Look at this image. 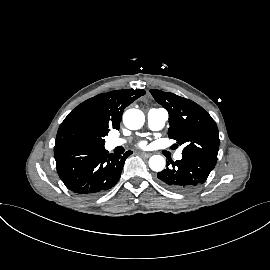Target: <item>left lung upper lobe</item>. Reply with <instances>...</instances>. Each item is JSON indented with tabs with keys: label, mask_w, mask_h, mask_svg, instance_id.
<instances>
[{
	"label": "left lung upper lobe",
	"mask_w": 270,
	"mask_h": 270,
	"mask_svg": "<svg viewBox=\"0 0 270 270\" xmlns=\"http://www.w3.org/2000/svg\"><path fill=\"white\" fill-rule=\"evenodd\" d=\"M154 99L169 113L168 136L184 149L182 155L193 156L215 165L219 149V132L212 117L198 104L170 92L150 90Z\"/></svg>",
	"instance_id": "obj_1"
}]
</instances>
